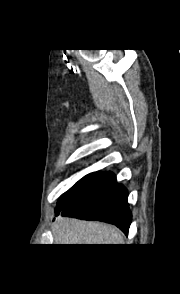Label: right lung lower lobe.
I'll return each mask as SVG.
<instances>
[{
  "label": "right lung lower lobe",
  "instance_id": "98d812e1",
  "mask_svg": "<svg viewBox=\"0 0 180 294\" xmlns=\"http://www.w3.org/2000/svg\"><path fill=\"white\" fill-rule=\"evenodd\" d=\"M128 192L111 172H94L78 181L58 200L56 215L99 220L120 228L126 235L131 223Z\"/></svg>",
  "mask_w": 180,
  "mask_h": 294
}]
</instances>
